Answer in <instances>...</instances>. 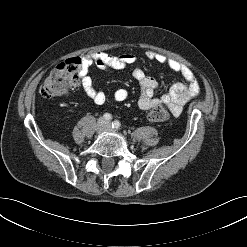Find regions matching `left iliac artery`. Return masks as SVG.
<instances>
[{"mask_svg": "<svg viewBox=\"0 0 247 247\" xmlns=\"http://www.w3.org/2000/svg\"><path fill=\"white\" fill-rule=\"evenodd\" d=\"M112 127L115 128V129H120V122L118 120L114 121L112 123Z\"/></svg>", "mask_w": 247, "mask_h": 247, "instance_id": "1", "label": "left iliac artery"}]
</instances>
